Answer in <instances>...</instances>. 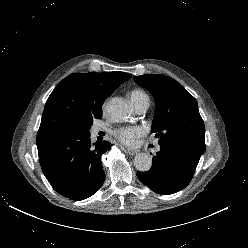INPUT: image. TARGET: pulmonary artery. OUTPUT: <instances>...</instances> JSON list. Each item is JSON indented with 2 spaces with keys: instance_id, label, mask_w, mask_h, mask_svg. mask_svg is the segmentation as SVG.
<instances>
[{
  "instance_id": "obj_1",
  "label": "pulmonary artery",
  "mask_w": 248,
  "mask_h": 248,
  "mask_svg": "<svg viewBox=\"0 0 248 248\" xmlns=\"http://www.w3.org/2000/svg\"><path fill=\"white\" fill-rule=\"evenodd\" d=\"M134 103L135 109L139 113H144L150 106V100L148 98L137 100ZM98 130H95L97 132Z\"/></svg>"
}]
</instances>
